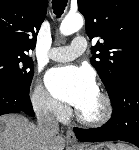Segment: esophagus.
<instances>
[{
    "label": "esophagus",
    "mask_w": 139,
    "mask_h": 150,
    "mask_svg": "<svg viewBox=\"0 0 139 150\" xmlns=\"http://www.w3.org/2000/svg\"><path fill=\"white\" fill-rule=\"evenodd\" d=\"M66 140L70 144H73V145L78 144L76 135L71 128H69L66 132Z\"/></svg>",
    "instance_id": "1"
}]
</instances>
